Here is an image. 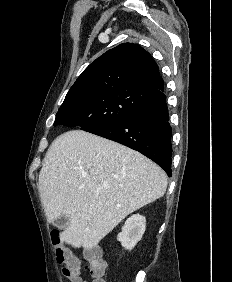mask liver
Here are the masks:
<instances>
[{
  "instance_id": "liver-1",
  "label": "liver",
  "mask_w": 232,
  "mask_h": 282,
  "mask_svg": "<svg viewBox=\"0 0 232 282\" xmlns=\"http://www.w3.org/2000/svg\"><path fill=\"white\" fill-rule=\"evenodd\" d=\"M166 188L165 172L150 159L83 130L58 136L39 174L48 222L67 216L60 240L87 250L127 215L161 198Z\"/></svg>"
}]
</instances>
